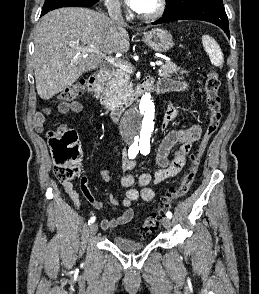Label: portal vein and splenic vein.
Instances as JSON below:
<instances>
[{
    "label": "portal vein and splenic vein",
    "mask_w": 259,
    "mask_h": 294,
    "mask_svg": "<svg viewBox=\"0 0 259 294\" xmlns=\"http://www.w3.org/2000/svg\"><path fill=\"white\" fill-rule=\"evenodd\" d=\"M80 51L82 52H93V53H96V54H101L104 59L109 62L110 64L124 70V71H127V72H132L133 71V66L125 61H122V60H119V59H115L111 56H107V55H104L102 54L101 52H99L97 49H95L93 46H85V47H81L79 48ZM163 63L162 61H156L154 63H151L152 66H161Z\"/></svg>",
    "instance_id": "18ae733b"
}]
</instances>
